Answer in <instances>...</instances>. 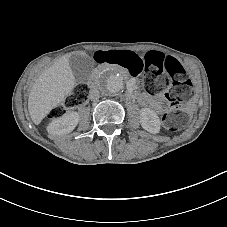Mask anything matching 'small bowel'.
<instances>
[{
  "mask_svg": "<svg viewBox=\"0 0 227 227\" xmlns=\"http://www.w3.org/2000/svg\"><path fill=\"white\" fill-rule=\"evenodd\" d=\"M155 52V51H153ZM158 55L165 57V55L161 52H155ZM148 106L151 107L152 109L156 110L157 112H163L164 109L162 107V104L159 100L154 99V98H148Z\"/></svg>",
  "mask_w": 227,
  "mask_h": 227,
  "instance_id": "1",
  "label": "small bowel"
}]
</instances>
